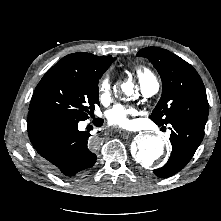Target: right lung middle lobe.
I'll return each instance as SVG.
<instances>
[{
	"instance_id": "obj_1",
	"label": "right lung middle lobe",
	"mask_w": 221,
	"mask_h": 221,
	"mask_svg": "<svg viewBox=\"0 0 221 221\" xmlns=\"http://www.w3.org/2000/svg\"><path fill=\"white\" fill-rule=\"evenodd\" d=\"M109 66L99 71H79L54 65L43 76L32 96L29 111H45L86 120L99 105L98 82Z\"/></svg>"
}]
</instances>
